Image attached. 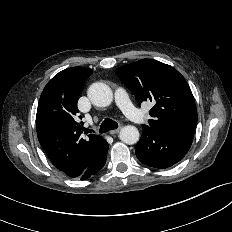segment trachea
I'll use <instances>...</instances> for the list:
<instances>
[{"label":"trachea","instance_id":"obj_1","mask_svg":"<svg viewBox=\"0 0 232 232\" xmlns=\"http://www.w3.org/2000/svg\"><path fill=\"white\" fill-rule=\"evenodd\" d=\"M116 128H118V123L110 118H106L100 125L99 133H105ZM86 131L91 132L89 129Z\"/></svg>","mask_w":232,"mask_h":232}]
</instances>
